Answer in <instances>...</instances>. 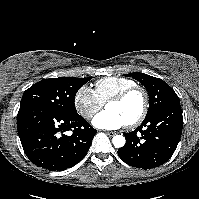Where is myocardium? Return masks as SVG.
I'll return each mask as SVG.
<instances>
[{
	"instance_id": "obj_1",
	"label": "myocardium",
	"mask_w": 199,
	"mask_h": 199,
	"mask_svg": "<svg viewBox=\"0 0 199 199\" xmlns=\"http://www.w3.org/2000/svg\"><path fill=\"white\" fill-rule=\"evenodd\" d=\"M134 92H140L142 94L143 105H142V109H141L139 115L132 121L126 123V126L129 128L139 125L144 120V118L146 117V115L148 113L149 94H148L147 90L144 87L139 86V85L130 86V87L122 90L117 95L113 96L112 98H110L107 101V105L110 103H119V102L124 101L130 94H132Z\"/></svg>"
}]
</instances>
